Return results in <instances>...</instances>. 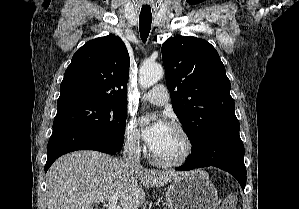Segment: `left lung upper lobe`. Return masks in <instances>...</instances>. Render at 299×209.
I'll list each match as a JSON object with an SVG mask.
<instances>
[{"label":"left lung upper lobe","instance_id":"left-lung-upper-lobe-1","mask_svg":"<svg viewBox=\"0 0 299 209\" xmlns=\"http://www.w3.org/2000/svg\"><path fill=\"white\" fill-rule=\"evenodd\" d=\"M162 59L173 109L196 149L212 129L237 119L225 67L210 43L190 36L167 39Z\"/></svg>","mask_w":299,"mask_h":209}]
</instances>
